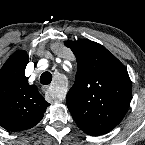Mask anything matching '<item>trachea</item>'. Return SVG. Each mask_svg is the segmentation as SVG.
Instances as JSON below:
<instances>
[{
    "label": "trachea",
    "instance_id": "3493384b",
    "mask_svg": "<svg viewBox=\"0 0 145 145\" xmlns=\"http://www.w3.org/2000/svg\"><path fill=\"white\" fill-rule=\"evenodd\" d=\"M52 81V74L50 72H44L41 76H40V82L43 85H48L50 84Z\"/></svg>",
    "mask_w": 145,
    "mask_h": 145
}]
</instances>
